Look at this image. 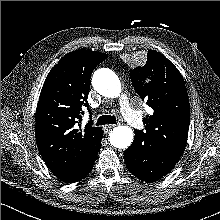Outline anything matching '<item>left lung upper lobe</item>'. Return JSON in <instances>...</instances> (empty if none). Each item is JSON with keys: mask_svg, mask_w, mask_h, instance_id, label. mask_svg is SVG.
<instances>
[{"mask_svg": "<svg viewBox=\"0 0 220 220\" xmlns=\"http://www.w3.org/2000/svg\"><path fill=\"white\" fill-rule=\"evenodd\" d=\"M135 92L147 101L153 115L143 119L145 131L135 130L143 144L153 145L176 158L188 137L190 107L185 82L163 54L149 50L143 67L130 70Z\"/></svg>", "mask_w": 220, "mask_h": 220, "instance_id": "5c2ea615", "label": "left lung upper lobe"}]
</instances>
